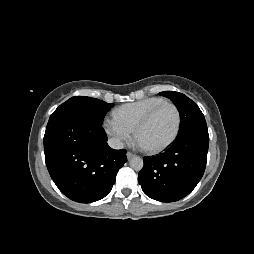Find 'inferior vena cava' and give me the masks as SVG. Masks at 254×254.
Masks as SVG:
<instances>
[{"label":"inferior vena cava","mask_w":254,"mask_h":254,"mask_svg":"<svg viewBox=\"0 0 254 254\" xmlns=\"http://www.w3.org/2000/svg\"><path fill=\"white\" fill-rule=\"evenodd\" d=\"M108 145L113 149H122L124 147L123 142L118 138H110Z\"/></svg>","instance_id":"602c4592"}]
</instances>
